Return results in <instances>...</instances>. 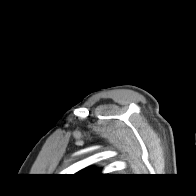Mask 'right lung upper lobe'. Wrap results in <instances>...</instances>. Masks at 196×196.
<instances>
[{"label": "right lung upper lobe", "instance_id": "1", "mask_svg": "<svg viewBox=\"0 0 196 196\" xmlns=\"http://www.w3.org/2000/svg\"><path fill=\"white\" fill-rule=\"evenodd\" d=\"M84 174H90V175H92V174H100V173H98V171H95V170H88L87 172H85Z\"/></svg>", "mask_w": 196, "mask_h": 196}]
</instances>
